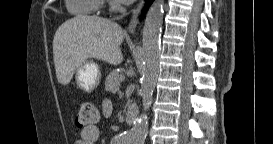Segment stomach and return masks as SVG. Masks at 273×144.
<instances>
[{"instance_id": "1", "label": "stomach", "mask_w": 273, "mask_h": 144, "mask_svg": "<svg viewBox=\"0 0 273 144\" xmlns=\"http://www.w3.org/2000/svg\"><path fill=\"white\" fill-rule=\"evenodd\" d=\"M101 79L100 68L92 60L84 61L75 72V80L80 89L85 92L93 91Z\"/></svg>"}]
</instances>
